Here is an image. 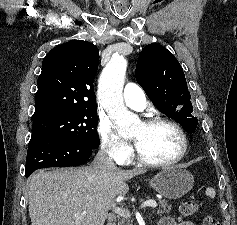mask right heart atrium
Wrapping results in <instances>:
<instances>
[{"mask_svg": "<svg viewBox=\"0 0 237 225\" xmlns=\"http://www.w3.org/2000/svg\"><path fill=\"white\" fill-rule=\"evenodd\" d=\"M97 134L100 147L104 154L118 164H126L132 158V150L113 129L106 119H100L97 124Z\"/></svg>", "mask_w": 237, "mask_h": 225, "instance_id": "1", "label": "right heart atrium"}]
</instances>
